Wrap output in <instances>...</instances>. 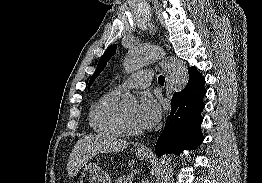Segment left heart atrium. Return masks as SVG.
<instances>
[{
  "instance_id": "left-heart-atrium-1",
  "label": "left heart atrium",
  "mask_w": 262,
  "mask_h": 183,
  "mask_svg": "<svg viewBox=\"0 0 262 183\" xmlns=\"http://www.w3.org/2000/svg\"><path fill=\"white\" fill-rule=\"evenodd\" d=\"M161 107L156 98L150 94L142 96L137 114V124L143 129L153 128L160 120Z\"/></svg>"
}]
</instances>
